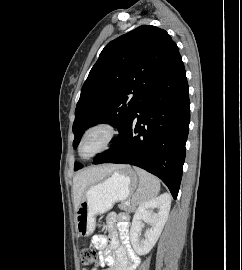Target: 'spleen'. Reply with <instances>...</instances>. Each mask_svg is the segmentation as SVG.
<instances>
[{
	"instance_id": "spleen-1",
	"label": "spleen",
	"mask_w": 242,
	"mask_h": 270,
	"mask_svg": "<svg viewBox=\"0 0 242 270\" xmlns=\"http://www.w3.org/2000/svg\"><path fill=\"white\" fill-rule=\"evenodd\" d=\"M139 176V187L132 197V202L142 204L154 199L160 191V181L150 173L138 167L134 168Z\"/></svg>"
}]
</instances>
